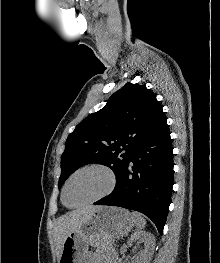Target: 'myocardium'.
I'll return each mask as SVG.
<instances>
[{
    "label": "myocardium",
    "instance_id": "obj_1",
    "mask_svg": "<svg viewBox=\"0 0 220 263\" xmlns=\"http://www.w3.org/2000/svg\"><path fill=\"white\" fill-rule=\"evenodd\" d=\"M100 170L102 172H104L107 177H108V186L106 188V190L104 192H102L101 194H99L98 196L94 197V198H91L87 201H84L82 203H79V204H76V205H68L66 202H65V194H66V191H67V188L71 182V180L76 176L78 175L79 173L83 172V171H87V170ZM116 184H117V176H116V173L113 171L112 168H110L109 166L107 165H104V164H99V163H93V164H88V165H85V166H82L80 168H78L77 170H75L69 177L68 179L66 180L64 186H63V190H62V202L65 206L69 207V208H78V207H82V206H85V205H88V204H92V203H95V202H98L104 198H106L107 196H109L115 189L116 187Z\"/></svg>",
    "mask_w": 220,
    "mask_h": 263
}]
</instances>
